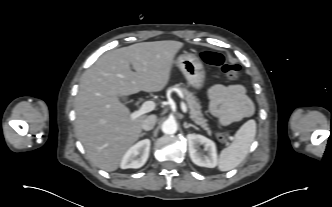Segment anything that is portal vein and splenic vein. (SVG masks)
Masks as SVG:
<instances>
[{"label":"portal vein and splenic vein","instance_id":"18ae733b","mask_svg":"<svg viewBox=\"0 0 332 207\" xmlns=\"http://www.w3.org/2000/svg\"><path fill=\"white\" fill-rule=\"evenodd\" d=\"M154 109H155V103L153 101H146L141 105L139 110L133 112L130 115V118H131V120H134V119L138 118L139 116H141L145 113H148ZM181 109L184 113H187V106L184 102H181Z\"/></svg>","mask_w":332,"mask_h":207}]
</instances>
